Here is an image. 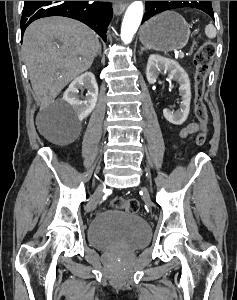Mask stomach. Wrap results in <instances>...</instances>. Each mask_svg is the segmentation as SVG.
<instances>
[{
	"label": "stomach",
	"mask_w": 237,
	"mask_h": 300,
	"mask_svg": "<svg viewBox=\"0 0 237 300\" xmlns=\"http://www.w3.org/2000/svg\"><path fill=\"white\" fill-rule=\"evenodd\" d=\"M190 27L175 11H165L141 27L140 41L155 51L183 49L190 37Z\"/></svg>",
	"instance_id": "1"
}]
</instances>
